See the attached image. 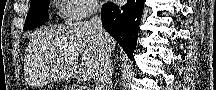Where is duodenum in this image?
I'll return each mask as SVG.
<instances>
[{
  "label": "duodenum",
  "instance_id": "1",
  "mask_svg": "<svg viewBox=\"0 0 216 90\" xmlns=\"http://www.w3.org/2000/svg\"><path fill=\"white\" fill-rule=\"evenodd\" d=\"M70 90H87V87H70Z\"/></svg>",
  "mask_w": 216,
  "mask_h": 90
}]
</instances>
